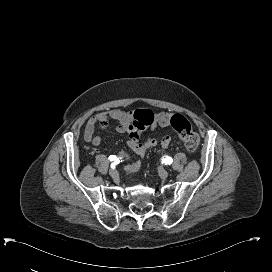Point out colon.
Masks as SVG:
<instances>
[{"mask_svg":"<svg viewBox=\"0 0 272 272\" xmlns=\"http://www.w3.org/2000/svg\"><path fill=\"white\" fill-rule=\"evenodd\" d=\"M150 120V114L146 111L137 112L132 121L133 129L144 128ZM169 125L178 132L179 138L184 144L185 148L189 152H195L199 145V136L193 130L190 122L182 115L175 114L168 118ZM99 124L102 127H105L108 124V120H101ZM132 140L137 138L135 132H132L130 135Z\"/></svg>","mask_w":272,"mask_h":272,"instance_id":"1","label":"colon"}]
</instances>
